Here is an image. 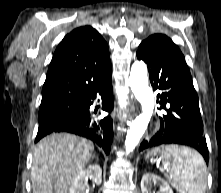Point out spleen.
<instances>
[{"label": "spleen", "mask_w": 221, "mask_h": 193, "mask_svg": "<svg viewBox=\"0 0 221 193\" xmlns=\"http://www.w3.org/2000/svg\"><path fill=\"white\" fill-rule=\"evenodd\" d=\"M163 151L168 181L179 193H205L206 165L203 157L189 146H155L145 158Z\"/></svg>", "instance_id": "3e777b00"}]
</instances>
